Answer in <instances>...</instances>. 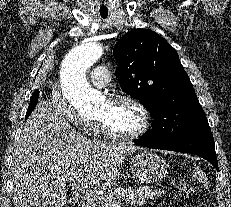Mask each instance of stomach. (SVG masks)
Instances as JSON below:
<instances>
[{"mask_svg": "<svg viewBox=\"0 0 231 207\" xmlns=\"http://www.w3.org/2000/svg\"><path fill=\"white\" fill-rule=\"evenodd\" d=\"M130 170L139 182L154 184L166 176L168 165L155 152L143 149L131 156Z\"/></svg>", "mask_w": 231, "mask_h": 207, "instance_id": "1", "label": "stomach"}]
</instances>
